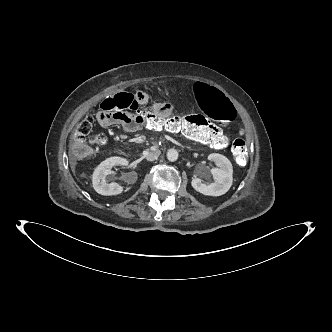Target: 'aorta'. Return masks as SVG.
Instances as JSON below:
<instances>
[{"label":"aorta","mask_w":332,"mask_h":332,"mask_svg":"<svg viewBox=\"0 0 332 332\" xmlns=\"http://www.w3.org/2000/svg\"><path fill=\"white\" fill-rule=\"evenodd\" d=\"M167 159L174 162L178 159V151L176 149H169L167 152Z\"/></svg>","instance_id":"762f6f07"}]
</instances>
